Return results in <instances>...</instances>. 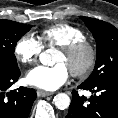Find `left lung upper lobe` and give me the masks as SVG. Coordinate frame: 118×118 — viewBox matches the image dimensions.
Here are the masks:
<instances>
[{"mask_svg": "<svg viewBox=\"0 0 118 118\" xmlns=\"http://www.w3.org/2000/svg\"><path fill=\"white\" fill-rule=\"evenodd\" d=\"M97 45L94 71L84 83L93 85L118 78V29L113 25L89 17H82Z\"/></svg>", "mask_w": 118, "mask_h": 118, "instance_id": "1", "label": "left lung upper lobe"}]
</instances>
